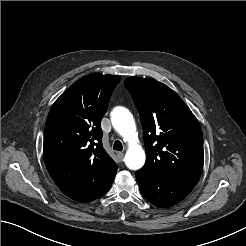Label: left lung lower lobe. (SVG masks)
I'll list each match as a JSON object with an SVG mask.
<instances>
[{"mask_svg":"<svg viewBox=\"0 0 246 246\" xmlns=\"http://www.w3.org/2000/svg\"><path fill=\"white\" fill-rule=\"evenodd\" d=\"M136 179L142 195L159 208L171 207L182 201L193 189L192 186L156 177L141 171Z\"/></svg>","mask_w":246,"mask_h":246,"instance_id":"obj_1","label":"left lung lower lobe"}]
</instances>
